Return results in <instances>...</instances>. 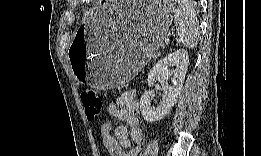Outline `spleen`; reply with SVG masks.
I'll use <instances>...</instances> for the list:
<instances>
[{
    "label": "spleen",
    "instance_id": "obj_1",
    "mask_svg": "<svg viewBox=\"0 0 261 156\" xmlns=\"http://www.w3.org/2000/svg\"><path fill=\"white\" fill-rule=\"evenodd\" d=\"M174 24L176 26L175 38L188 48L197 46L199 28L196 11L190 1L181 0L173 7Z\"/></svg>",
    "mask_w": 261,
    "mask_h": 156
}]
</instances>
